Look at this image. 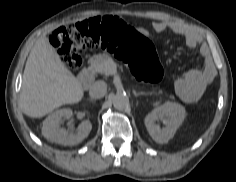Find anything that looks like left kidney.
I'll list each match as a JSON object with an SVG mask.
<instances>
[{
	"instance_id": "5707ae66",
	"label": "left kidney",
	"mask_w": 236,
	"mask_h": 182,
	"mask_svg": "<svg viewBox=\"0 0 236 182\" xmlns=\"http://www.w3.org/2000/svg\"><path fill=\"white\" fill-rule=\"evenodd\" d=\"M185 108L174 102H166L153 109L144 120L145 126L152 139L160 144L167 143L184 121ZM162 120L164 127L160 128L156 121Z\"/></svg>"
}]
</instances>
